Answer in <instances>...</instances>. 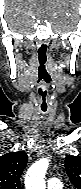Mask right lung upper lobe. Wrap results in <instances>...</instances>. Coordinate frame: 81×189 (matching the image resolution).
Here are the masks:
<instances>
[{
  "mask_svg": "<svg viewBox=\"0 0 81 189\" xmlns=\"http://www.w3.org/2000/svg\"><path fill=\"white\" fill-rule=\"evenodd\" d=\"M27 162L24 151L0 156V189H20V177Z\"/></svg>",
  "mask_w": 81,
  "mask_h": 189,
  "instance_id": "obj_1",
  "label": "right lung upper lobe"
}]
</instances>
